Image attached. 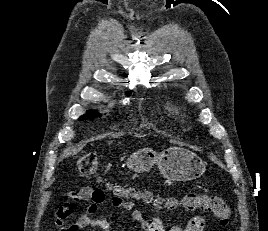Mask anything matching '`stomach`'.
<instances>
[{"label": "stomach", "mask_w": 268, "mask_h": 231, "mask_svg": "<svg viewBox=\"0 0 268 231\" xmlns=\"http://www.w3.org/2000/svg\"><path fill=\"white\" fill-rule=\"evenodd\" d=\"M155 164L164 178L174 182L197 179L206 171V162L196 153L176 146L161 153H156L151 148H142L126 160L127 167L137 173L148 172Z\"/></svg>", "instance_id": "obj_1"}]
</instances>
